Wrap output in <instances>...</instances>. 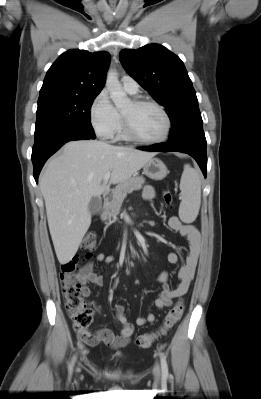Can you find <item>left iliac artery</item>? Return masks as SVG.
I'll return each instance as SVG.
<instances>
[{"label":"left iliac artery","instance_id":"obj_1","mask_svg":"<svg viewBox=\"0 0 261 399\" xmlns=\"http://www.w3.org/2000/svg\"><path fill=\"white\" fill-rule=\"evenodd\" d=\"M160 360H161V368H162V376L163 377H168V365L166 361V357L164 356L163 353L160 354Z\"/></svg>","mask_w":261,"mask_h":399}]
</instances>
